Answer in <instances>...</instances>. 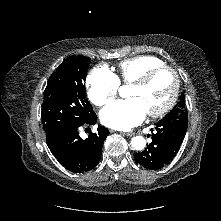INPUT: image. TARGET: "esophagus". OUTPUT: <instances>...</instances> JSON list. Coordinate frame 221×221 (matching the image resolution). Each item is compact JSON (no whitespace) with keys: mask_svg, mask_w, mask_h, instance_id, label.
Segmentation results:
<instances>
[{"mask_svg":"<svg viewBox=\"0 0 221 221\" xmlns=\"http://www.w3.org/2000/svg\"><path fill=\"white\" fill-rule=\"evenodd\" d=\"M122 134L129 137L134 135L132 132H124Z\"/></svg>","mask_w":221,"mask_h":221,"instance_id":"34e87169","label":"esophagus"}]
</instances>
